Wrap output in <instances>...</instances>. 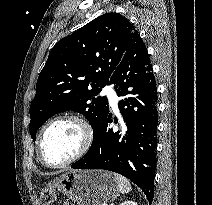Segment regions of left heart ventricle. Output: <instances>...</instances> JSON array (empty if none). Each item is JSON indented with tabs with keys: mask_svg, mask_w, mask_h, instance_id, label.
Wrapping results in <instances>:
<instances>
[{
	"mask_svg": "<svg viewBox=\"0 0 212 205\" xmlns=\"http://www.w3.org/2000/svg\"><path fill=\"white\" fill-rule=\"evenodd\" d=\"M82 142V133L77 124L61 121L52 125L42 142V153L49 163H61L73 156Z\"/></svg>",
	"mask_w": 212,
	"mask_h": 205,
	"instance_id": "b2bd125f",
	"label": "left heart ventricle"
}]
</instances>
